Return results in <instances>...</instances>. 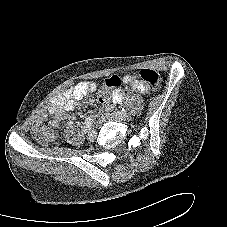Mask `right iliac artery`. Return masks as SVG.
I'll list each match as a JSON object with an SVG mask.
<instances>
[{
	"mask_svg": "<svg viewBox=\"0 0 227 227\" xmlns=\"http://www.w3.org/2000/svg\"><path fill=\"white\" fill-rule=\"evenodd\" d=\"M93 122H94V116H89L86 118L84 122V127H83V131L85 133L91 129Z\"/></svg>",
	"mask_w": 227,
	"mask_h": 227,
	"instance_id": "obj_1",
	"label": "right iliac artery"
}]
</instances>
